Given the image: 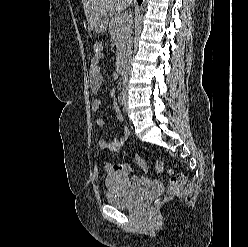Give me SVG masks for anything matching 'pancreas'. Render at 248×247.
Returning a JSON list of instances; mask_svg holds the SVG:
<instances>
[{
  "label": "pancreas",
  "mask_w": 248,
  "mask_h": 247,
  "mask_svg": "<svg viewBox=\"0 0 248 247\" xmlns=\"http://www.w3.org/2000/svg\"><path fill=\"white\" fill-rule=\"evenodd\" d=\"M110 22L108 24L111 40L117 48V55H121L125 49V40L127 37V23L122 15H109Z\"/></svg>",
  "instance_id": "obj_1"
}]
</instances>
